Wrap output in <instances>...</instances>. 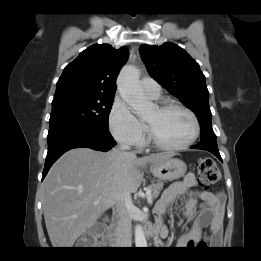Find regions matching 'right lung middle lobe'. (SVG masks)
<instances>
[{
    "label": "right lung middle lobe",
    "instance_id": "right-lung-middle-lobe-1",
    "mask_svg": "<svg viewBox=\"0 0 261 261\" xmlns=\"http://www.w3.org/2000/svg\"><path fill=\"white\" fill-rule=\"evenodd\" d=\"M113 96L61 93L55 94L49 129L67 125H90L108 129Z\"/></svg>",
    "mask_w": 261,
    "mask_h": 261
}]
</instances>
